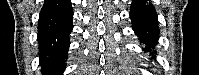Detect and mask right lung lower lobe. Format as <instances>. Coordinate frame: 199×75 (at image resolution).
<instances>
[{
	"label": "right lung lower lobe",
	"mask_w": 199,
	"mask_h": 75,
	"mask_svg": "<svg viewBox=\"0 0 199 75\" xmlns=\"http://www.w3.org/2000/svg\"><path fill=\"white\" fill-rule=\"evenodd\" d=\"M72 18L69 0H45L37 36L42 75H62L73 29Z\"/></svg>",
	"instance_id": "obj_1"
}]
</instances>
